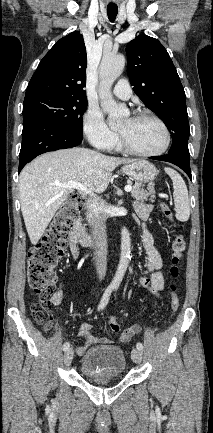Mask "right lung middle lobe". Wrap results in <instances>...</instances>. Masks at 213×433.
I'll return each mask as SVG.
<instances>
[{
    "mask_svg": "<svg viewBox=\"0 0 213 433\" xmlns=\"http://www.w3.org/2000/svg\"><path fill=\"white\" fill-rule=\"evenodd\" d=\"M87 108V98L39 94L25 97L23 118L38 116L82 136V115Z\"/></svg>",
    "mask_w": 213,
    "mask_h": 433,
    "instance_id": "right-lung-middle-lobe-1",
    "label": "right lung middle lobe"
}]
</instances>
